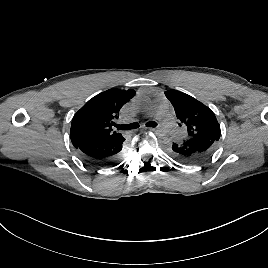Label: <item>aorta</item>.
I'll list each match as a JSON object with an SVG mask.
<instances>
[{
  "instance_id": "aorta-1",
  "label": "aorta",
  "mask_w": 268,
  "mask_h": 268,
  "mask_svg": "<svg viewBox=\"0 0 268 268\" xmlns=\"http://www.w3.org/2000/svg\"><path fill=\"white\" fill-rule=\"evenodd\" d=\"M148 103H149V100L146 97H140L137 100V104L140 107L146 106ZM154 135L157 140L163 141L168 138L169 132L166 127L160 126L155 129Z\"/></svg>"
}]
</instances>
